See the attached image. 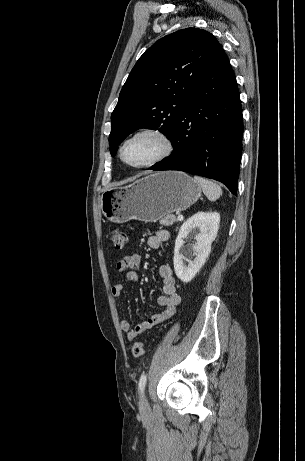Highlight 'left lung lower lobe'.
Here are the masks:
<instances>
[{"instance_id":"1","label":"left lung lower lobe","mask_w":305,"mask_h":461,"mask_svg":"<svg viewBox=\"0 0 305 461\" xmlns=\"http://www.w3.org/2000/svg\"><path fill=\"white\" fill-rule=\"evenodd\" d=\"M243 117L236 78L224 50L189 95L170 140L173 152L151 170H180L222 182L237 195Z\"/></svg>"}]
</instances>
